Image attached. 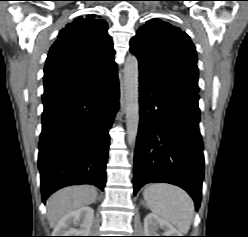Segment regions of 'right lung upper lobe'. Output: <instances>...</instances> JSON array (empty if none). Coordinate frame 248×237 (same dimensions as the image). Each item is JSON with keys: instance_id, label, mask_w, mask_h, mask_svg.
<instances>
[{"instance_id": "right-lung-upper-lobe-1", "label": "right lung upper lobe", "mask_w": 248, "mask_h": 237, "mask_svg": "<svg viewBox=\"0 0 248 237\" xmlns=\"http://www.w3.org/2000/svg\"><path fill=\"white\" fill-rule=\"evenodd\" d=\"M108 24L94 14L66 25L49 50L44 93L79 86L116 70Z\"/></svg>"}]
</instances>
